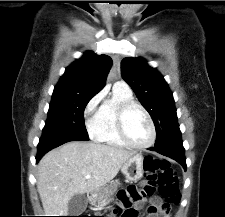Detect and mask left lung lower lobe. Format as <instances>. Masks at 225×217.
<instances>
[{
	"mask_svg": "<svg viewBox=\"0 0 225 217\" xmlns=\"http://www.w3.org/2000/svg\"><path fill=\"white\" fill-rule=\"evenodd\" d=\"M182 143L183 142L181 138H178L170 142H166L161 145H157L152 148H149V150L156 151L164 156H167L176 160L183 166L184 170H186L187 166H186V159L184 155L185 149Z\"/></svg>",
	"mask_w": 225,
	"mask_h": 217,
	"instance_id": "0a47b994",
	"label": "left lung lower lobe"
}]
</instances>
